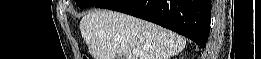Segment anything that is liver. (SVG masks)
<instances>
[{"label": "liver", "mask_w": 261, "mask_h": 59, "mask_svg": "<svg viewBox=\"0 0 261 59\" xmlns=\"http://www.w3.org/2000/svg\"><path fill=\"white\" fill-rule=\"evenodd\" d=\"M79 28L93 59H170L186 45L170 30L111 10L90 12Z\"/></svg>", "instance_id": "6515ba94"}]
</instances>
